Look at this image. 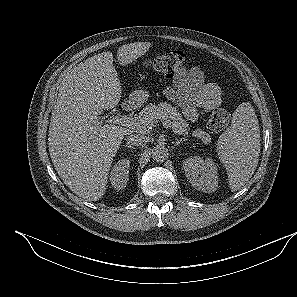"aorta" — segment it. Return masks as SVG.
Segmentation results:
<instances>
[{"instance_id":"762f6f07","label":"aorta","mask_w":297,"mask_h":297,"mask_svg":"<svg viewBox=\"0 0 297 297\" xmlns=\"http://www.w3.org/2000/svg\"><path fill=\"white\" fill-rule=\"evenodd\" d=\"M168 156L169 152L165 146H156L152 149V158L157 162L165 161Z\"/></svg>"}]
</instances>
